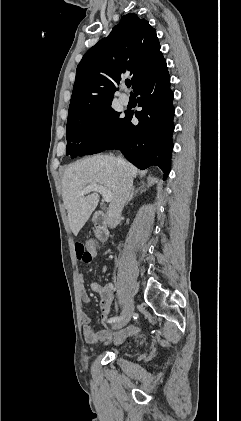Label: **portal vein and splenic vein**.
<instances>
[{
	"instance_id": "obj_1",
	"label": "portal vein and splenic vein",
	"mask_w": 241,
	"mask_h": 421,
	"mask_svg": "<svg viewBox=\"0 0 241 421\" xmlns=\"http://www.w3.org/2000/svg\"><path fill=\"white\" fill-rule=\"evenodd\" d=\"M90 192H99L103 196V200L105 202H110L112 200V192L107 190L105 187L99 184H92L88 185L86 188H84L80 194L85 195Z\"/></svg>"
}]
</instances>
